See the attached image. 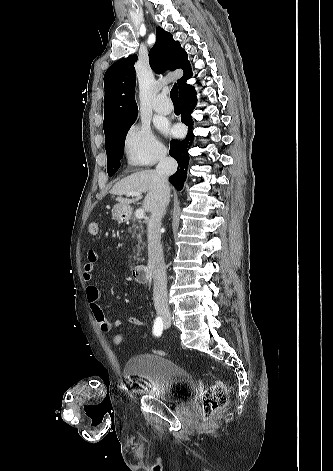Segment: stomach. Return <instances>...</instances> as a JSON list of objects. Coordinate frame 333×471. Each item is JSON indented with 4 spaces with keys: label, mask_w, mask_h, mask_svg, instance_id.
Listing matches in <instances>:
<instances>
[{
    "label": "stomach",
    "mask_w": 333,
    "mask_h": 471,
    "mask_svg": "<svg viewBox=\"0 0 333 471\" xmlns=\"http://www.w3.org/2000/svg\"><path fill=\"white\" fill-rule=\"evenodd\" d=\"M129 207L122 204H116L112 208V217L118 222H123L126 219Z\"/></svg>",
    "instance_id": "1"
}]
</instances>
